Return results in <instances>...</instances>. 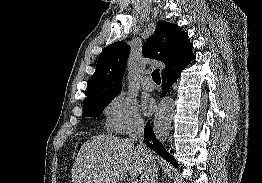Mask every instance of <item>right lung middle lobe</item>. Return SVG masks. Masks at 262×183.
I'll return each instance as SVG.
<instances>
[{
  "label": "right lung middle lobe",
  "instance_id": "dd1d6c3e",
  "mask_svg": "<svg viewBox=\"0 0 262 183\" xmlns=\"http://www.w3.org/2000/svg\"><path fill=\"white\" fill-rule=\"evenodd\" d=\"M115 96L102 98L83 103V116L84 117H99Z\"/></svg>",
  "mask_w": 262,
  "mask_h": 183
}]
</instances>
